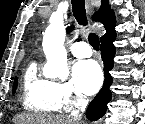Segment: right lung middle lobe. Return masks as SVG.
Returning <instances> with one entry per match:
<instances>
[{"mask_svg": "<svg viewBox=\"0 0 145 124\" xmlns=\"http://www.w3.org/2000/svg\"><path fill=\"white\" fill-rule=\"evenodd\" d=\"M16 87H17V79H16L15 82H14V85H13V91L16 90Z\"/></svg>", "mask_w": 145, "mask_h": 124, "instance_id": "obj_1", "label": "right lung middle lobe"}]
</instances>
